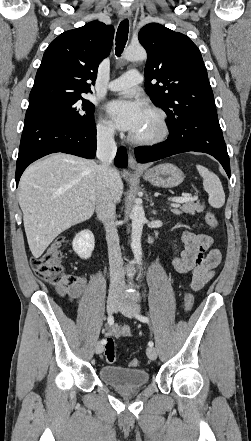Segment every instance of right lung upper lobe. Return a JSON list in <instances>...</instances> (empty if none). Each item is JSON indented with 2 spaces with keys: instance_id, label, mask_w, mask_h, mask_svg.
Masks as SVG:
<instances>
[{
  "instance_id": "obj_1",
  "label": "right lung upper lobe",
  "mask_w": 251,
  "mask_h": 441,
  "mask_svg": "<svg viewBox=\"0 0 251 441\" xmlns=\"http://www.w3.org/2000/svg\"><path fill=\"white\" fill-rule=\"evenodd\" d=\"M114 28L93 21L66 31L46 49L38 68L29 102L58 95L91 92L99 63L108 56Z\"/></svg>"
}]
</instances>
